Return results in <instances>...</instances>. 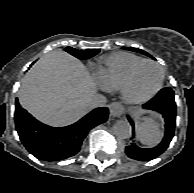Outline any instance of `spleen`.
I'll return each mask as SVG.
<instances>
[{"label": "spleen", "mask_w": 194, "mask_h": 193, "mask_svg": "<svg viewBox=\"0 0 194 193\" xmlns=\"http://www.w3.org/2000/svg\"><path fill=\"white\" fill-rule=\"evenodd\" d=\"M158 121L159 116L152 113L137 123V137L142 144L152 146L160 142L163 132Z\"/></svg>", "instance_id": "obj_1"}]
</instances>
